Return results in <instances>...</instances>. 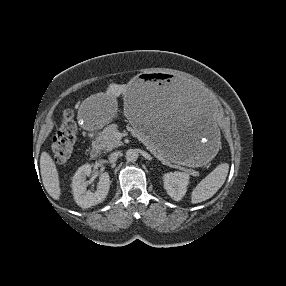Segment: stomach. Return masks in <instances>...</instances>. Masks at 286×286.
I'll list each match as a JSON object with an SVG mask.
<instances>
[{
    "instance_id": "1",
    "label": "stomach",
    "mask_w": 286,
    "mask_h": 286,
    "mask_svg": "<svg viewBox=\"0 0 286 286\" xmlns=\"http://www.w3.org/2000/svg\"><path fill=\"white\" fill-rule=\"evenodd\" d=\"M116 101L103 93L83 100L80 124L97 130L110 123ZM124 114L135 130L171 162L198 167L214 156L221 110L216 99L187 78L148 71L133 78L124 98Z\"/></svg>"
}]
</instances>
